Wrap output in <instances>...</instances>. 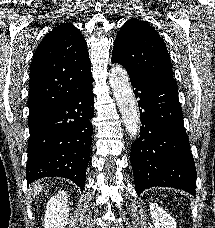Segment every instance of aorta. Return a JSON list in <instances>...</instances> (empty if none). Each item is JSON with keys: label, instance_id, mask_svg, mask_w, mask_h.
<instances>
[{"label": "aorta", "instance_id": "1", "mask_svg": "<svg viewBox=\"0 0 215 228\" xmlns=\"http://www.w3.org/2000/svg\"><path fill=\"white\" fill-rule=\"evenodd\" d=\"M109 82L119 112L122 114L125 130L132 140H136L140 136V114L125 68L123 66L111 68Z\"/></svg>", "mask_w": 215, "mask_h": 228}]
</instances>
